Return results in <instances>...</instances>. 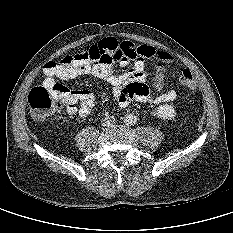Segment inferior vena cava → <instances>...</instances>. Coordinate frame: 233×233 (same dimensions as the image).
<instances>
[{
    "label": "inferior vena cava",
    "instance_id": "602c4592",
    "mask_svg": "<svg viewBox=\"0 0 233 233\" xmlns=\"http://www.w3.org/2000/svg\"><path fill=\"white\" fill-rule=\"evenodd\" d=\"M116 123V119L113 116H107L101 120V124L104 127H110Z\"/></svg>",
    "mask_w": 233,
    "mask_h": 233
}]
</instances>
